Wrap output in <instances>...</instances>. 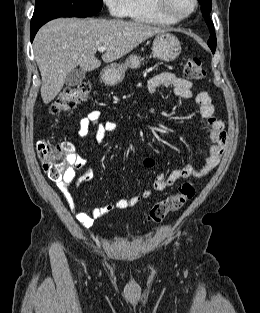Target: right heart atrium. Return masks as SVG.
I'll use <instances>...</instances> for the list:
<instances>
[{
  "label": "right heart atrium",
  "instance_id": "1",
  "mask_svg": "<svg viewBox=\"0 0 260 313\" xmlns=\"http://www.w3.org/2000/svg\"><path fill=\"white\" fill-rule=\"evenodd\" d=\"M110 15L114 17H125L127 14L128 0H102Z\"/></svg>",
  "mask_w": 260,
  "mask_h": 313
}]
</instances>
